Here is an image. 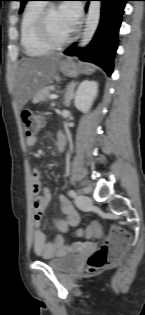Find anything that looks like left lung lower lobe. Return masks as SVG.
I'll return each instance as SVG.
<instances>
[{
	"label": "left lung lower lobe",
	"mask_w": 145,
	"mask_h": 315,
	"mask_svg": "<svg viewBox=\"0 0 145 315\" xmlns=\"http://www.w3.org/2000/svg\"><path fill=\"white\" fill-rule=\"evenodd\" d=\"M91 1V0H87ZM102 2L99 27L91 43L83 49L71 45L64 52L66 55L78 56L102 67L108 75L113 71L114 55L118 46V32L124 12L125 2L129 0H97Z\"/></svg>",
	"instance_id": "0a47b994"
}]
</instances>
